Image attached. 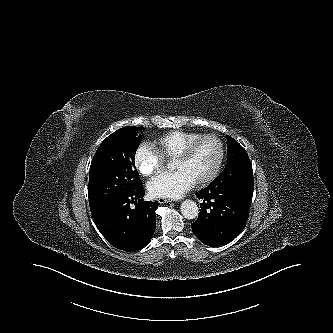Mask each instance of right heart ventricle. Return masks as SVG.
<instances>
[{
  "label": "right heart ventricle",
  "instance_id": "obj_1",
  "mask_svg": "<svg viewBox=\"0 0 333 333\" xmlns=\"http://www.w3.org/2000/svg\"><path fill=\"white\" fill-rule=\"evenodd\" d=\"M198 132L174 130L154 140L150 147L163 159H174L191 140L200 136Z\"/></svg>",
  "mask_w": 333,
  "mask_h": 333
}]
</instances>
